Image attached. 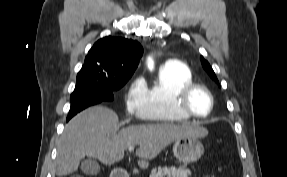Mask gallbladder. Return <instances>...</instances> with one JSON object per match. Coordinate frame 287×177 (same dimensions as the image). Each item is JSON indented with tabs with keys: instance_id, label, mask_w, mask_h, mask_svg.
I'll return each mask as SVG.
<instances>
[{
	"instance_id": "gallbladder-1",
	"label": "gallbladder",
	"mask_w": 287,
	"mask_h": 177,
	"mask_svg": "<svg viewBox=\"0 0 287 177\" xmlns=\"http://www.w3.org/2000/svg\"><path fill=\"white\" fill-rule=\"evenodd\" d=\"M81 171L88 176H94L100 172V166L94 158H88L82 161Z\"/></svg>"
}]
</instances>
